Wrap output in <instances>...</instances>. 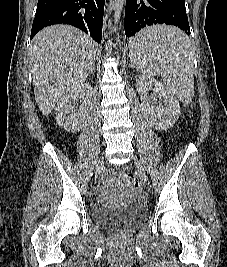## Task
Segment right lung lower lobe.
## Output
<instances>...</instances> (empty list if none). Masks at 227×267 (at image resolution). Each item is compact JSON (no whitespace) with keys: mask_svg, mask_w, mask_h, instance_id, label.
Returning a JSON list of instances; mask_svg holds the SVG:
<instances>
[{"mask_svg":"<svg viewBox=\"0 0 227 267\" xmlns=\"http://www.w3.org/2000/svg\"><path fill=\"white\" fill-rule=\"evenodd\" d=\"M105 0H38L31 39L44 27L69 24L101 43Z\"/></svg>","mask_w":227,"mask_h":267,"instance_id":"right-lung-lower-lobe-1","label":"right lung lower lobe"}]
</instances>
